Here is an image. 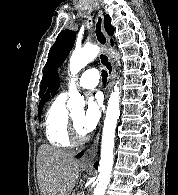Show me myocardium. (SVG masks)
<instances>
[{"mask_svg": "<svg viewBox=\"0 0 178 195\" xmlns=\"http://www.w3.org/2000/svg\"><path fill=\"white\" fill-rule=\"evenodd\" d=\"M68 136L72 144L81 145L87 141L86 135H81L77 131L73 118L69 116Z\"/></svg>", "mask_w": 178, "mask_h": 195, "instance_id": "obj_1", "label": "myocardium"}]
</instances>
